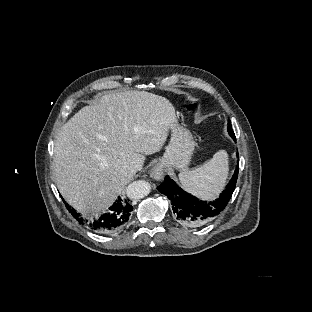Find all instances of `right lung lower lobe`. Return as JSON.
<instances>
[{"instance_id":"98d812e1","label":"right lung lower lobe","mask_w":312,"mask_h":312,"mask_svg":"<svg viewBox=\"0 0 312 312\" xmlns=\"http://www.w3.org/2000/svg\"><path fill=\"white\" fill-rule=\"evenodd\" d=\"M65 205L77 221L86 225L92 231L101 234H108L118 230L128 222L131 211L133 210V207L126 199L118 197L115 203L109 208L110 211L108 213L92 220L82 217L81 214L71 209L67 204Z\"/></svg>"}]
</instances>
